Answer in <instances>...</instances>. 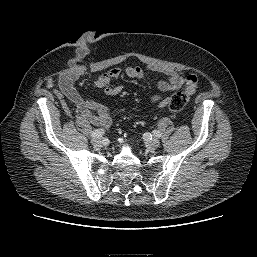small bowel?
<instances>
[{"label":"small bowel","mask_w":257,"mask_h":257,"mask_svg":"<svg viewBox=\"0 0 257 257\" xmlns=\"http://www.w3.org/2000/svg\"><path fill=\"white\" fill-rule=\"evenodd\" d=\"M161 72L166 77L165 80H161L158 83V87L162 91L177 90L183 87L186 92L192 94L197 87V78L192 74L184 77L172 70H162ZM123 73L134 79H142L144 77V70L138 66H129L124 71L119 68H113L100 75L95 81V86L102 88L107 96H117L122 92V86H111L110 83L119 79ZM79 77L80 74L77 72H67L59 77L58 85L49 80L48 87L56 93L58 98L69 99L76 106L80 116L88 119L96 126L108 128L111 125L109 108L97 102L86 100L80 95L75 87V82ZM150 102L160 107H165L169 103V98L162 95H154L151 97ZM66 113L69 114L67 109Z\"/></svg>","instance_id":"c3829d8e"}]
</instances>
